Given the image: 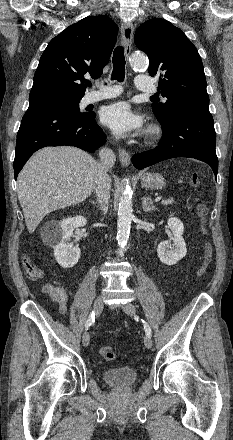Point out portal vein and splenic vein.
I'll return each instance as SVG.
<instances>
[{
	"instance_id": "18ae733b",
	"label": "portal vein and splenic vein",
	"mask_w": 233,
	"mask_h": 440,
	"mask_svg": "<svg viewBox=\"0 0 233 440\" xmlns=\"http://www.w3.org/2000/svg\"><path fill=\"white\" fill-rule=\"evenodd\" d=\"M160 200H161V197H157V198L155 199L156 202H158V201H160Z\"/></svg>"
}]
</instances>
